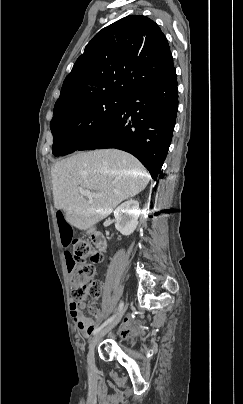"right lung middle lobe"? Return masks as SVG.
<instances>
[{"label": "right lung middle lobe", "instance_id": "obj_1", "mask_svg": "<svg viewBox=\"0 0 243 404\" xmlns=\"http://www.w3.org/2000/svg\"><path fill=\"white\" fill-rule=\"evenodd\" d=\"M124 98L103 97L53 117L50 128L53 134L54 156H64L76 151L96 135L115 116Z\"/></svg>", "mask_w": 243, "mask_h": 404}]
</instances>
